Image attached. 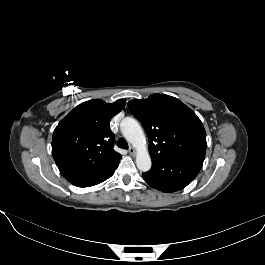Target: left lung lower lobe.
<instances>
[{
  "mask_svg": "<svg viewBox=\"0 0 265 265\" xmlns=\"http://www.w3.org/2000/svg\"><path fill=\"white\" fill-rule=\"evenodd\" d=\"M205 159V152L178 155L152 161L150 171L143 173V179L153 188L163 192L183 189L198 175Z\"/></svg>",
  "mask_w": 265,
  "mask_h": 265,
  "instance_id": "left-lung-lower-lobe-1",
  "label": "left lung lower lobe"
}]
</instances>
